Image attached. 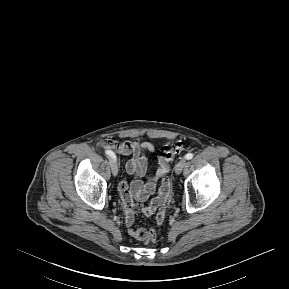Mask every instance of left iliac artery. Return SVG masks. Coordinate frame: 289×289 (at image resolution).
<instances>
[{
	"instance_id": "left-iliac-artery-1",
	"label": "left iliac artery",
	"mask_w": 289,
	"mask_h": 289,
	"mask_svg": "<svg viewBox=\"0 0 289 289\" xmlns=\"http://www.w3.org/2000/svg\"><path fill=\"white\" fill-rule=\"evenodd\" d=\"M193 154L192 153H188V154H186L185 155V158L187 159V160H190V159H192L193 158Z\"/></svg>"
}]
</instances>
